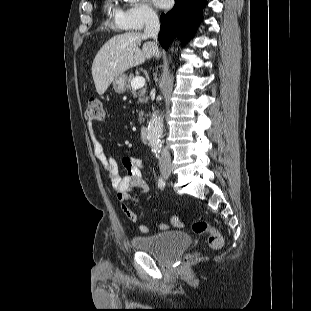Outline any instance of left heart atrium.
<instances>
[{
  "label": "left heart atrium",
  "mask_w": 311,
  "mask_h": 311,
  "mask_svg": "<svg viewBox=\"0 0 311 311\" xmlns=\"http://www.w3.org/2000/svg\"><path fill=\"white\" fill-rule=\"evenodd\" d=\"M153 3L160 8H165L169 5L170 0H152Z\"/></svg>",
  "instance_id": "obj_1"
}]
</instances>
